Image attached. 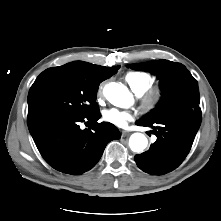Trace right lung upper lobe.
<instances>
[{"label":"right lung upper lobe","mask_w":221,"mask_h":221,"mask_svg":"<svg viewBox=\"0 0 221 221\" xmlns=\"http://www.w3.org/2000/svg\"><path fill=\"white\" fill-rule=\"evenodd\" d=\"M118 68L119 66H114L109 68V67L94 65L83 61H75L67 63L63 66L49 68L44 72H42L41 74H46L56 70H62L72 73L87 81L100 84L102 81L114 75L117 72Z\"/></svg>","instance_id":"cb5924a9"}]
</instances>
